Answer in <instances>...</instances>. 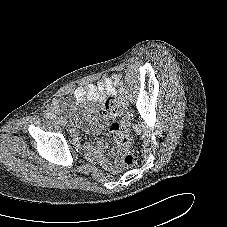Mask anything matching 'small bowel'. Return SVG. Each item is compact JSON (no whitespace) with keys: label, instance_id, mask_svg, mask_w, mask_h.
<instances>
[{"label":"small bowel","instance_id":"1","mask_svg":"<svg viewBox=\"0 0 227 227\" xmlns=\"http://www.w3.org/2000/svg\"><path fill=\"white\" fill-rule=\"evenodd\" d=\"M118 81H119L118 76L114 75L112 77L104 78L103 80L99 81L96 84L91 83L85 86H79L74 90V96L77 101H83L86 98L97 101H103L107 94L115 93V88L118 84ZM61 103H62L61 98L56 99L52 108L56 109ZM71 134L74 137V139L76 140L78 139L77 132L75 129L71 130ZM105 148L106 146L104 142L99 141L96 150V156L103 167L116 173L118 172V167L116 165L111 164L103 155ZM87 151L91 152V149L87 147Z\"/></svg>","mask_w":227,"mask_h":227}]
</instances>
